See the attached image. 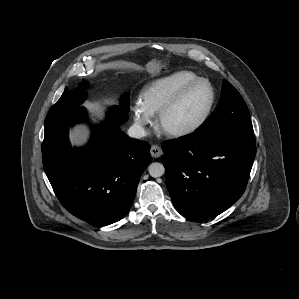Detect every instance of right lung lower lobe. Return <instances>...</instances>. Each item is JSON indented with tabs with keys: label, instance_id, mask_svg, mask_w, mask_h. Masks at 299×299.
I'll return each instance as SVG.
<instances>
[{
	"label": "right lung lower lobe",
	"instance_id": "1",
	"mask_svg": "<svg viewBox=\"0 0 299 299\" xmlns=\"http://www.w3.org/2000/svg\"><path fill=\"white\" fill-rule=\"evenodd\" d=\"M128 111L115 106L93 129L89 143L72 148L69 126L86 119L83 107L47 114L42 159L45 173L62 205L87 222L108 225L129 211L138 182L150 164V145L128 137L119 126Z\"/></svg>",
	"mask_w": 299,
	"mask_h": 299
}]
</instances>
